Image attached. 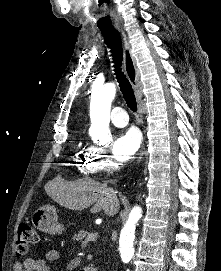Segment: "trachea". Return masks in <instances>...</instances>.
Wrapping results in <instances>:
<instances>
[{"instance_id":"3493384b","label":"trachea","mask_w":221,"mask_h":271,"mask_svg":"<svg viewBox=\"0 0 221 271\" xmlns=\"http://www.w3.org/2000/svg\"><path fill=\"white\" fill-rule=\"evenodd\" d=\"M99 28L103 34L104 42L110 49L114 63V72L119 83L120 90L123 94V98L130 110L137 111V103L134 91L130 82L124 75V72H122L123 49L121 45V38L113 27Z\"/></svg>"}]
</instances>
